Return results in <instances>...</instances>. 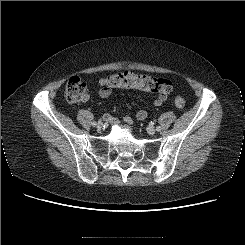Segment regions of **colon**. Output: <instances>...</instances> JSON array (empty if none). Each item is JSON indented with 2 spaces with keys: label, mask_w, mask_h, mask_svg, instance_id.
Here are the masks:
<instances>
[{
  "label": "colon",
  "mask_w": 245,
  "mask_h": 245,
  "mask_svg": "<svg viewBox=\"0 0 245 245\" xmlns=\"http://www.w3.org/2000/svg\"><path fill=\"white\" fill-rule=\"evenodd\" d=\"M100 85L105 90L114 89H139L148 92L168 95L173 90L172 83L163 78H156L149 75H140L133 72H120L107 76L100 80ZM86 95V84L78 76L71 77L65 87V97L69 102L82 101ZM177 108L185 106V100L177 97L174 101Z\"/></svg>",
  "instance_id": "1"
}]
</instances>
